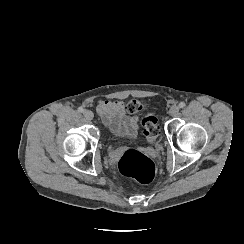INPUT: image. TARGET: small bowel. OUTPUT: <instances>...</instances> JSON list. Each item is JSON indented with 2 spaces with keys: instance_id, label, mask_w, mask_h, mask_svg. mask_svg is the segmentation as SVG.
<instances>
[{
  "instance_id": "obj_1",
  "label": "small bowel",
  "mask_w": 244,
  "mask_h": 244,
  "mask_svg": "<svg viewBox=\"0 0 244 244\" xmlns=\"http://www.w3.org/2000/svg\"><path fill=\"white\" fill-rule=\"evenodd\" d=\"M96 109L105 127L115 136L126 141L136 140L139 131V118L128 112L123 101H100Z\"/></svg>"
}]
</instances>
